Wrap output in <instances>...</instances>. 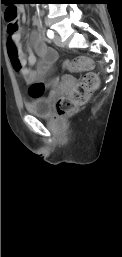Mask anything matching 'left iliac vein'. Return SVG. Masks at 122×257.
<instances>
[{
  "mask_svg": "<svg viewBox=\"0 0 122 257\" xmlns=\"http://www.w3.org/2000/svg\"><path fill=\"white\" fill-rule=\"evenodd\" d=\"M53 42L55 43V45H57V46H59V47H63V46H64V44H63V42H62V40H61V37H60L58 34H56V35L54 36Z\"/></svg>",
  "mask_w": 122,
  "mask_h": 257,
  "instance_id": "obj_1",
  "label": "left iliac vein"
}]
</instances>
